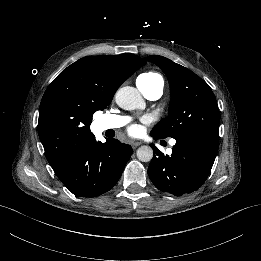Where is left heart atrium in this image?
I'll use <instances>...</instances> for the list:
<instances>
[{"instance_id": "1", "label": "left heart atrium", "mask_w": 261, "mask_h": 261, "mask_svg": "<svg viewBox=\"0 0 261 261\" xmlns=\"http://www.w3.org/2000/svg\"><path fill=\"white\" fill-rule=\"evenodd\" d=\"M129 133L132 135V136H137L139 135L140 133V129L138 126L136 125H133L131 126L129 129H128Z\"/></svg>"}]
</instances>
